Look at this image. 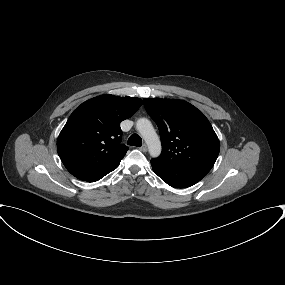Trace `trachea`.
I'll return each mask as SVG.
<instances>
[{
    "instance_id": "1",
    "label": "trachea",
    "mask_w": 285,
    "mask_h": 285,
    "mask_svg": "<svg viewBox=\"0 0 285 285\" xmlns=\"http://www.w3.org/2000/svg\"><path fill=\"white\" fill-rule=\"evenodd\" d=\"M128 145L141 147L142 139L138 134H132L128 139Z\"/></svg>"
}]
</instances>
